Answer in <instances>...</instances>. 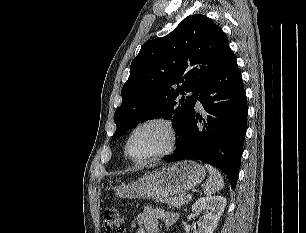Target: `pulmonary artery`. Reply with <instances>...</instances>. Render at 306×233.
<instances>
[{
  "label": "pulmonary artery",
  "mask_w": 306,
  "mask_h": 233,
  "mask_svg": "<svg viewBox=\"0 0 306 233\" xmlns=\"http://www.w3.org/2000/svg\"><path fill=\"white\" fill-rule=\"evenodd\" d=\"M197 105H198V107H201V103L199 101L197 102Z\"/></svg>",
  "instance_id": "obj_1"
}]
</instances>
